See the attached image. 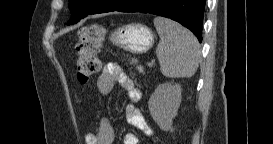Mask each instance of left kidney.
<instances>
[{"label": "left kidney", "instance_id": "obj_1", "mask_svg": "<svg viewBox=\"0 0 273 144\" xmlns=\"http://www.w3.org/2000/svg\"><path fill=\"white\" fill-rule=\"evenodd\" d=\"M181 86L164 83L158 85L148 101L150 114L163 131L171 129L173 118L181 103Z\"/></svg>", "mask_w": 273, "mask_h": 144}]
</instances>
